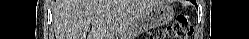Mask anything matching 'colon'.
<instances>
[{
	"instance_id": "obj_1",
	"label": "colon",
	"mask_w": 249,
	"mask_h": 39,
	"mask_svg": "<svg viewBox=\"0 0 249 39\" xmlns=\"http://www.w3.org/2000/svg\"><path fill=\"white\" fill-rule=\"evenodd\" d=\"M193 34V26L190 15L179 14L176 20L163 30L157 38L159 39H186Z\"/></svg>"
}]
</instances>
